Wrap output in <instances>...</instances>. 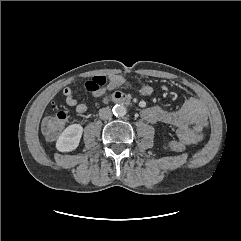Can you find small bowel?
Here are the masks:
<instances>
[{
    "label": "small bowel",
    "mask_w": 241,
    "mask_h": 241,
    "mask_svg": "<svg viewBox=\"0 0 241 241\" xmlns=\"http://www.w3.org/2000/svg\"><path fill=\"white\" fill-rule=\"evenodd\" d=\"M121 76H113L110 81L122 80ZM66 102L69 106L75 107L80 114L88 110L86 103H77L74 93L70 87H66L63 91ZM140 93L147 96L151 93V87L144 83L140 88ZM142 118L150 123H165L174 126L177 129V136L184 144H197L202 140L203 129L207 125L208 118L205 106L195 98H188L181 107L175 110H166L159 106L148 107L141 111ZM200 126L201 130L196 131L195 127Z\"/></svg>",
    "instance_id": "c3829d8e"
}]
</instances>
